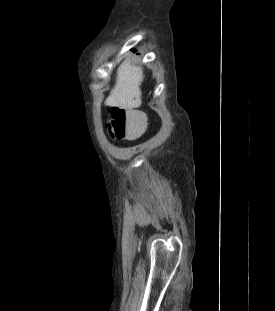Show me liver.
<instances>
[{
    "instance_id": "liver-1",
    "label": "liver",
    "mask_w": 275,
    "mask_h": 311,
    "mask_svg": "<svg viewBox=\"0 0 275 311\" xmlns=\"http://www.w3.org/2000/svg\"><path fill=\"white\" fill-rule=\"evenodd\" d=\"M143 69L141 66L132 65L124 61L117 70L116 84L111 90L105 104L132 111L141 106V89L143 81Z\"/></svg>"
}]
</instances>
